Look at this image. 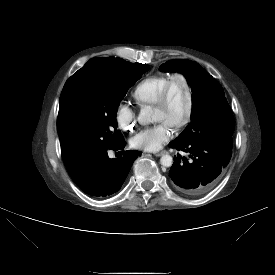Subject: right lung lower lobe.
<instances>
[{
  "label": "right lung lower lobe",
  "mask_w": 275,
  "mask_h": 275,
  "mask_svg": "<svg viewBox=\"0 0 275 275\" xmlns=\"http://www.w3.org/2000/svg\"><path fill=\"white\" fill-rule=\"evenodd\" d=\"M124 147L123 138L112 149L121 150ZM140 154L138 151H125L123 157L110 159L105 152L77 161L68 171L83 192L91 196L105 197L120 189L134 160Z\"/></svg>",
  "instance_id": "1"
}]
</instances>
